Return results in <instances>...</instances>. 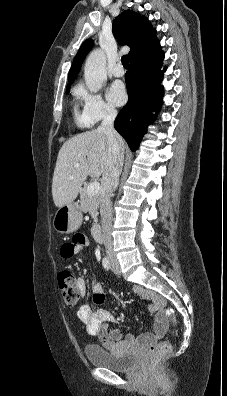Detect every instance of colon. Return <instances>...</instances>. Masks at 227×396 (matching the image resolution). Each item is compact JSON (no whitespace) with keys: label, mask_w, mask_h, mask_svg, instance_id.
I'll return each mask as SVG.
<instances>
[{"label":"colon","mask_w":227,"mask_h":396,"mask_svg":"<svg viewBox=\"0 0 227 396\" xmlns=\"http://www.w3.org/2000/svg\"><path fill=\"white\" fill-rule=\"evenodd\" d=\"M58 284L65 304L70 308L79 309L80 292L77 287V281L73 273L68 269H62L58 273ZM166 314L170 317L173 323L176 322L174 313L170 308L166 309ZM171 350V344L164 341L157 346L151 347L150 362L156 365L159 361L168 354Z\"/></svg>","instance_id":"1"}]
</instances>
